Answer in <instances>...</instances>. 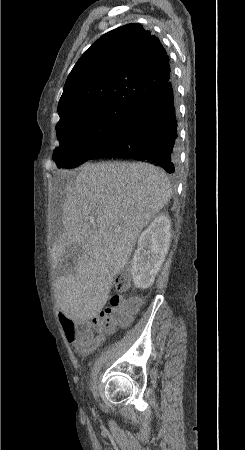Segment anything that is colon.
<instances>
[{
	"instance_id": "obj_1",
	"label": "colon",
	"mask_w": 245,
	"mask_h": 450,
	"mask_svg": "<svg viewBox=\"0 0 245 450\" xmlns=\"http://www.w3.org/2000/svg\"><path fill=\"white\" fill-rule=\"evenodd\" d=\"M130 279L131 276L127 273L119 274L114 282L115 290L119 293L125 291L129 287ZM120 305L122 307L118 309ZM138 309V298L123 300L121 296L115 295L110 299V306L101 310L93 320L77 321L64 315L60 318V324L68 339L76 338L79 341L87 342L93 336V328L113 331L116 327H126Z\"/></svg>"
}]
</instances>
